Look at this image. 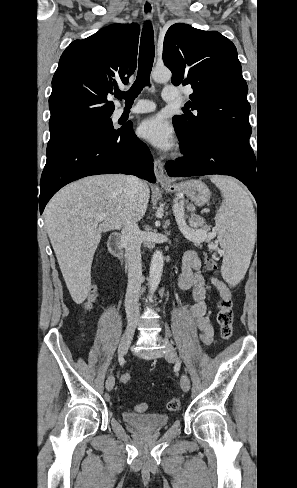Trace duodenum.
I'll use <instances>...</instances> for the list:
<instances>
[{
	"instance_id": "1",
	"label": "duodenum",
	"mask_w": 297,
	"mask_h": 488,
	"mask_svg": "<svg viewBox=\"0 0 297 488\" xmlns=\"http://www.w3.org/2000/svg\"><path fill=\"white\" fill-rule=\"evenodd\" d=\"M108 247L110 252L115 256L122 267L125 266V260L123 256V250L120 245V237L117 233H114L110 236L108 241Z\"/></svg>"
}]
</instances>
